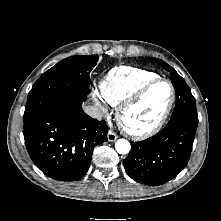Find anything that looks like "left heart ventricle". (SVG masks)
<instances>
[{
  "label": "left heart ventricle",
  "instance_id": "obj_1",
  "mask_svg": "<svg viewBox=\"0 0 221 221\" xmlns=\"http://www.w3.org/2000/svg\"><path fill=\"white\" fill-rule=\"evenodd\" d=\"M170 95V86L164 82L158 83L149 90L142 103L127 115L128 123L135 128L150 127L163 113Z\"/></svg>",
  "mask_w": 221,
  "mask_h": 221
}]
</instances>
